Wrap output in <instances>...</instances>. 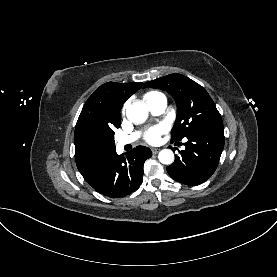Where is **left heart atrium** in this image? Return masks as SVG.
I'll list each match as a JSON object with an SVG mask.
<instances>
[{
  "instance_id": "left-heart-atrium-1",
  "label": "left heart atrium",
  "mask_w": 277,
  "mask_h": 277,
  "mask_svg": "<svg viewBox=\"0 0 277 277\" xmlns=\"http://www.w3.org/2000/svg\"><path fill=\"white\" fill-rule=\"evenodd\" d=\"M167 131V126L164 123L158 124L150 128L145 134V140L148 143L155 144L159 141L162 134Z\"/></svg>"
}]
</instances>
